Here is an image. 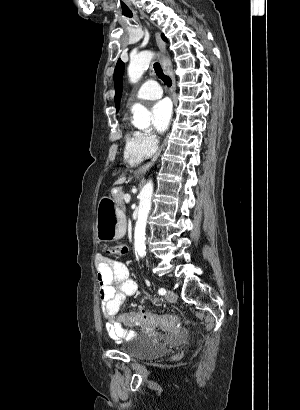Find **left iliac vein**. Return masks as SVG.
I'll list each match as a JSON object with an SVG mask.
<instances>
[{
	"instance_id": "1",
	"label": "left iliac vein",
	"mask_w": 300,
	"mask_h": 410,
	"mask_svg": "<svg viewBox=\"0 0 300 410\" xmlns=\"http://www.w3.org/2000/svg\"><path fill=\"white\" fill-rule=\"evenodd\" d=\"M165 297L169 302H175L177 300V294L172 290H168Z\"/></svg>"
}]
</instances>
